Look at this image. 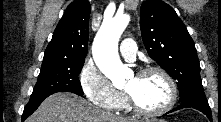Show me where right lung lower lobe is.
I'll list each match as a JSON object with an SVG mask.
<instances>
[{
  "mask_svg": "<svg viewBox=\"0 0 221 122\" xmlns=\"http://www.w3.org/2000/svg\"><path fill=\"white\" fill-rule=\"evenodd\" d=\"M48 96L49 95L43 96V97H38L35 99H30V101L28 102V104L24 108V112L22 115V121H24L28 116H30L38 108V106L41 104V102Z\"/></svg>",
  "mask_w": 221,
  "mask_h": 122,
  "instance_id": "98d812e1",
  "label": "right lung lower lobe"
}]
</instances>
